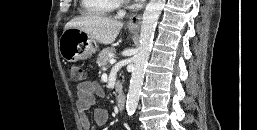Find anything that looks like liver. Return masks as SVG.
<instances>
[{"mask_svg": "<svg viewBox=\"0 0 257 130\" xmlns=\"http://www.w3.org/2000/svg\"><path fill=\"white\" fill-rule=\"evenodd\" d=\"M122 27L121 21L97 15L79 16L65 25V29L77 28L90 38L105 45L115 41Z\"/></svg>", "mask_w": 257, "mask_h": 130, "instance_id": "1", "label": "liver"}]
</instances>
